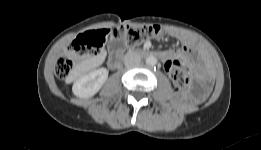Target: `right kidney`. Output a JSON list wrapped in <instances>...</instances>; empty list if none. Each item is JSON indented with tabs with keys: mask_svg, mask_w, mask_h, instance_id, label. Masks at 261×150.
<instances>
[{
	"mask_svg": "<svg viewBox=\"0 0 261 150\" xmlns=\"http://www.w3.org/2000/svg\"><path fill=\"white\" fill-rule=\"evenodd\" d=\"M108 78V70L100 68L80 77L73 84L72 91L79 98L94 96L104 85Z\"/></svg>",
	"mask_w": 261,
	"mask_h": 150,
	"instance_id": "right-kidney-1",
	"label": "right kidney"
}]
</instances>
